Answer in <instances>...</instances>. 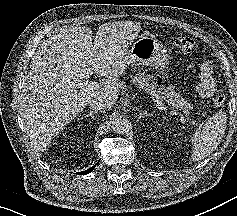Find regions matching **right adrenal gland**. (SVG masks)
<instances>
[{"instance_id":"obj_1","label":"right adrenal gland","mask_w":237,"mask_h":216,"mask_svg":"<svg viewBox=\"0 0 237 216\" xmlns=\"http://www.w3.org/2000/svg\"><path fill=\"white\" fill-rule=\"evenodd\" d=\"M96 113H97L96 110H91L90 113H89L88 115H85V116H84V118H87V117H89V116H90L91 118H94L93 115L96 114Z\"/></svg>"}]
</instances>
